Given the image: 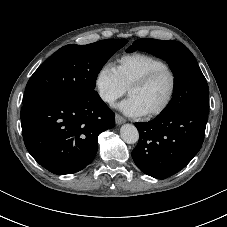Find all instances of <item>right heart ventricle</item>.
<instances>
[{"mask_svg": "<svg viewBox=\"0 0 227 227\" xmlns=\"http://www.w3.org/2000/svg\"><path fill=\"white\" fill-rule=\"evenodd\" d=\"M166 63L154 56L144 53L124 54L116 59L114 70L122 84L128 88L135 80Z\"/></svg>", "mask_w": 227, "mask_h": 227, "instance_id": "obj_1", "label": "right heart ventricle"}]
</instances>
